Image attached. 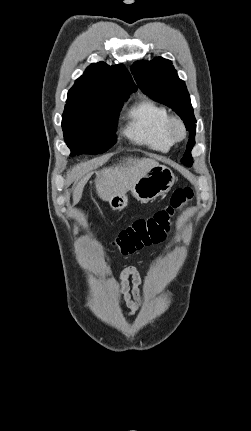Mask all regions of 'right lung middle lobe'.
Masks as SVG:
<instances>
[{
  "mask_svg": "<svg viewBox=\"0 0 251 431\" xmlns=\"http://www.w3.org/2000/svg\"><path fill=\"white\" fill-rule=\"evenodd\" d=\"M127 99L69 91L63 113L64 140L76 154H101L116 142L119 111Z\"/></svg>",
  "mask_w": 251,
  "mask_h": 431,
  "instance_id": "dd1d6c3e",
  "label": "right lung middle lobe"
}]
</instances>
